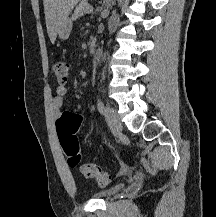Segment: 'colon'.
<instances>
[{
  "mask_svg": "<svg viewBox=\"0 0 216 217\" xmlns=\"http://www.w3.org/2000/svg\"><path fill=\"white\" fill-rule=\"evenodd\" d=\"M70 66L64 60H58L52 65V73L60 83L68 79ZM83 123L81 114L66 113L57 122V131L60 144L70 166L76 167L80 164L81 154L76 133ZM80 172L85 178H94L102 186L108 184L110 175L103 172L94 164H83Z\"/></svg>",
  "mask_w": 216,
  "mask_h": 217,
  "instance_id": "1",
  "label": "colon"
}]
</instances>
